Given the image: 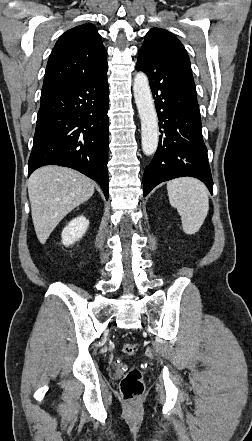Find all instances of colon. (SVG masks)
<instances>
[{
  "label": "colon",
  "instance_id": "colon-1",
  "mask_svg": "<svg viewBox=\"0 0 252 441\" xmlns=\"http://www.w3.org/2000/svg\"><path fill=\"white\" fill-rule=\"evenodd\" d=\"M122 351L127 356H133L136 348L133 344L126 343L122 347ZM120 390L123 399L127 402L138 400L144 392V383L140 370L133 366L124 375L120 382Z\"/></svg>",
  "mask_w": 252,
  "mask_h": 441
}]
</instances>
